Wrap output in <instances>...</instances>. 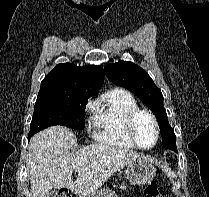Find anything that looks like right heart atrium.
I'll list each match as a JSON object with an SVG mask.
<instances>
[{
  "label": "right heart atrium",
  "mask_w": 209,
  "mask_h": 197,
  "mask_svg": "<svg viewBox=\"0 0 209 197\" xmlns=\"http://www.w3.org/2000/svg\"><path fill=\"white\" fill-rule=\"evenodd\" d=\"M87 108H88V109L93 108V104H92V103L88 104V105H87Z\"/></svg>",
  "instance_id": "right-heart-atrium-1"
}]
</instances>
